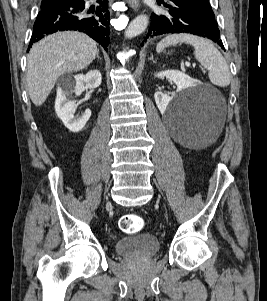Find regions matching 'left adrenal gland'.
I'll use <instances>...</instances> for the list:
<instances>
[{"label":"left adrenal gland","mask_w":267,"mask_h":301,"mask_svg":"<svg viewBox=\"0 0 267 301\" xmlns=\"http://www.w3.org/2000/svg\"><path fill=\"white\" fill-rule=\"evenodd\" d=\"M149 60H151L153 63H156L152 54H151V57L149 58Z\"/></svg>","instance_id":"left-adrenal-gland-1"}]
</instances>
